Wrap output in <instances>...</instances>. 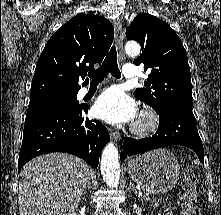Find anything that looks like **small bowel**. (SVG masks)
<instances>
[{"instance_id":"1","label":"small bowel","mask_w":221,"mask_h":215,"mask_svg":"<svg viewBox=\"0 0 221 215\" xmlns=\"http://www.w3.org/2000/svg\"><path fill=\"white\" fill-rule=\"evenodd\" d=\"M165 215H175V214L172 212H167Z\"/></svg>"}]
</instances>
